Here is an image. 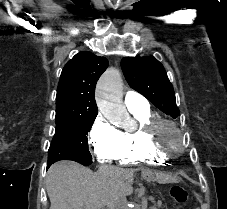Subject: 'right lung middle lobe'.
Instances as JSON below:
<instances>
[{
    "label": "right lung middle lobe",
    "instance_id": "obj_1",
    "mask_svg": "<svg viewBox=\"0 0 227 209\" xmlns=\"http://www.w3.org/2000/svg\"><path fill=\"white\" fill-rule=\"evenodd\" d=\"M96 116L56 114V131L48 151L47 168L60 160H73L82 165L92 163L86 135Z\"/></svg>",
    "mask_w": 227,
    "mask_h": 209
}]
</instances>
